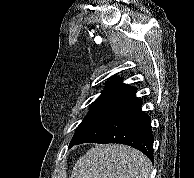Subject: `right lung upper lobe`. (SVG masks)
<instances>
[{"label":"right lung upper lobe","instance_id":"1","mask_svg":"<svg viewBox=\"0 0 194 178\" xmlns=\"http://www.w3.org/2000/svg\"><path fill=\"white\" fill-rule=\"evenodd\" d=\"M119 77H115L106 84L105 90L96 100L114 101L122 104L129 103L138 99L136 97V88L119 81Z\"/></svg>","mask_w":194,"mask_h":178}]
</instances>
